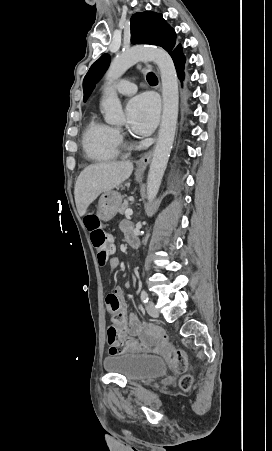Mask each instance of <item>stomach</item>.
I'll return each mask as SVG.
<instances>
[{
    "label": "stomach",
    "instance_id": "obj_1",
    "mask_svg": "<svg viewBox=\"0 0 272 451\" xmlns=\"http://www.w3.org/2000/svg\"><path fill=\"white\" fill-rule=\"evenodd\" d=\"M137 182H140L141 176L137 174L136 176ZM122 196L119 192H114V190H108V192H104L102 196L99 198L97 214L99 220H103V222H108V220H112L114 216H116L121 204H122Z\"/></svg>",
    "mask_w": 272,
    "mask_h": 451
}]
</instances>
